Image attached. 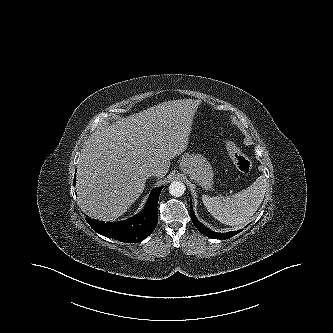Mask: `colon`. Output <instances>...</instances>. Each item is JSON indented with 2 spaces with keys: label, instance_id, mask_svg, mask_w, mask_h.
Returning a JSON list of instances; mask_svg holds the SVG:
<instances>
[{
  "label": "colon",
  "instance_id": "colon-1",
  "mask_svg": "<svg viewBox=\"0 0 333 333\" xmlns=\"http://www.w3.org/2000/svg\"><path fill=\"white\" fill-rule=\"evenodd\" d=\"M226 150L231 158L235 168L242 174H249L252 170V164L249 158L241 151L237 144L228 140L226 142Z\"/></svg>",
  "mask_w": 333,
  "mask_h": 333
}]
</instances>
